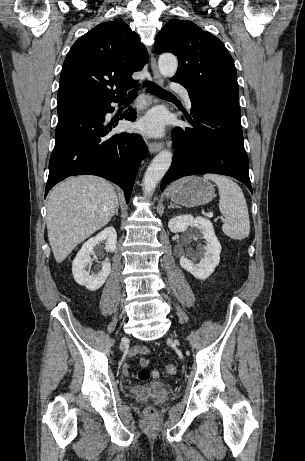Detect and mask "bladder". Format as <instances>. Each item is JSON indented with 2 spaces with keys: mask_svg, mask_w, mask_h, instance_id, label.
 Segmentation results:
<instances>
[{
  "mask_svg": "<svg viewBox=\"0 0 305 461\" xmlns=\"http://www.w3.org/2000/svg\"><path fill=\"white\" fill-rule=\"evenodd\" d=\"M149 387L152 389H159V388L164 387V384L162 382H153L150 384Z\"/></svg>",
  "mask_w": 305,
  "mask_h": 461,
  "instance_id": "bladder-1",
  "label": "bladder"
}]
</instances>
